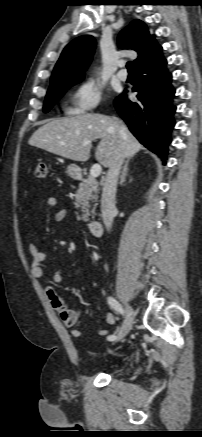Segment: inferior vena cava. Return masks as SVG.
I'll use <instances>...</instances> for the list:
<instances>
[{
    "mask_svg": "<svg viewBox=\"0 0 202 437\" xmlns=\"http://www.w3.org/2000/svg\"><path fill=\"white\" fill-rule=\"evenodd\" d=\"M123 161L124 157L122 155H119L118 158L109 167L103 184L101 212L103 223L108 231L112 227L114 214L116 212L115 197L117 182Z\"/></svg>",
    "mask_w": 202,
    "mask_h": 437,
    "instance_id": "inferior-vena-cava-1",
    "label": "inferior vena cava"
}]
</instances>
